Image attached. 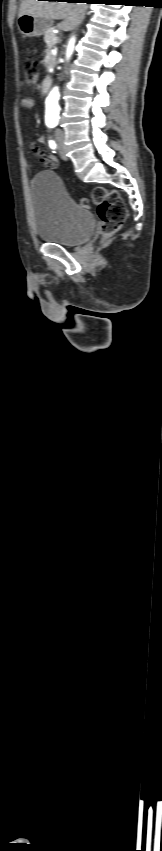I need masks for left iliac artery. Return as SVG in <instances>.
<instances>
[{"instance_id": "left-iliac-artery-1", "label": "left iliac artery", "mask_w": 162, "mask_h": 851, "mask_svg": "<svg viewBox=\"0 0 162 851\" xmlns=\"http://www.w3.org/2000/svg\"><path fill=\"white\" fill-rule=\"evenodd\" d=\"M49 146L51 149H56V144L53 140H49Z\"/></svg>"}]
</instances>
